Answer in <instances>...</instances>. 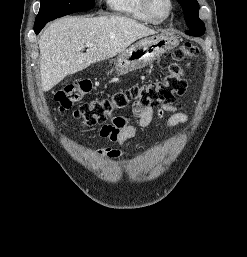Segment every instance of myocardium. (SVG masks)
I'll return each mask as SVG.
<instances>
[{"label": "myocardium", "instance_id": "1", "mask_svg": "<svg viewBox=\"0 0 247 257\" xmlns=\"http://www.w3.org/2000/svg\"><path fill=\"white\" fill-rule=\"evenodd\" d=\"M168 5L166 12L160 15L156 10V0H143L144 9L154 23H162L166 21L173 13L174 10V2L173 0H165Z\"/></svg>", "mask_w": 247, "mask_h": 257}]
</instances>
